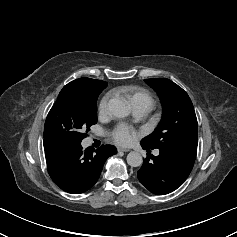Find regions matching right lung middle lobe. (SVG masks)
<instances>
[{"mask_svg":"<svg viewBox=\"0 0 237 237\" xmlns=\"http://www.w3.org/2000/svg\"><path fill=\"white\" fill-rule=\"evenodd\" d=\"M101 92L71 82L65 85L46 118L44 139L81 142L87 136L85 130L97 122L96 101Z\"/></svg>","mask_w":237,"mask_h":237,"instance_id":"1","label":"right lung middle lobe"}]
</instances>
